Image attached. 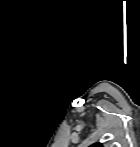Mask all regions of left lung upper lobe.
Segmentation results:
<instances>
[{"label": "left lung upper lobe", "mask_w": 140, "mask_h": 147, "mask_svg": "<svg viewBox=\"0 0 140 147\" xmlns=\"http://www.w3.org/2000/svg\"><path fill=\"white\" fill-rule=\"evenodd\" d=\"M90 147H103L101 143H96L94 145H91Z\"/></svg>", "instance_id": "1"}]
</instances>
